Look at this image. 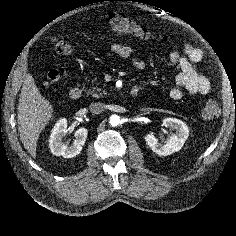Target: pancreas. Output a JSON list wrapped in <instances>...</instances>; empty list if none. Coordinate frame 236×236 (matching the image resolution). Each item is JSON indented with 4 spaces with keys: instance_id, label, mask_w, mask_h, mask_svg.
<instances>
[{
    "instance_id": "cf45deb5",
    "label": "pancreas",
    "mask_w": 236,
    "mask_h": 236,
    "mask_svg": "<svg viewBox=\"0 0 236 236\" xmlns=\"http://www.w3.org/2000/svg\"><path fill=\"white\" fill-rule=\"evenodd\" d=\"M91 84H92V87L90 89H88L86 92L87 96L91 95L92 97L100 98L108 93L107 90H105L101 87H98V85L101 84V81H99L97 78H94L91 81Z\"/></svg>"
}]
</instances>
